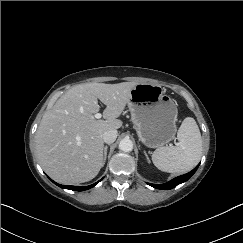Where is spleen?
<instances>
[{
	"mask_svg": "<svg viewBox=\"0 0 243 243\" xmlns=\"http://www.w3.org/2000/svg\"><path fill=\"white\" fill-rule=\"evenodd\" d=\"M177 146L157 148L152 154L154 165L168 173H186L193 169L202 155V139L194 118L183 120L178 133Z\"/></svg>",
	"mask_w": 243,
	"mask_h": 243,
	"instance_id": "obj_1",
	"label": "spleen"
}]
</instances>
